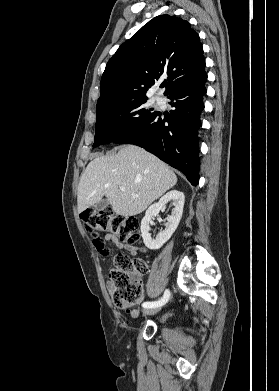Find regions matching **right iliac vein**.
<instances>
[{
  "label": "right iliac vein",
  "instance_id": "63e3f726",
  "mask_svg": "<svg viewBox=\"0 0 279 391\" xmlns=\"http://www.w3.org/2000/svg\"><path fill=\"white\" fill-rule=\"evenodd\" d=\"M160 311V308L159 307H155V308H147L143 311V314L144 315H154L156 313H158Z\"/></svg>",
  "mask_w": 279,
  "mask_h": 391
}]
</instances>
